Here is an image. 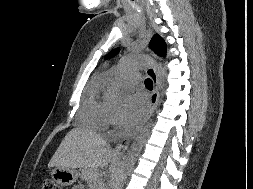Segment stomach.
<instances>
[{
  "label": "stomach",
  "mask_w": 253,
  "mask_h": 189,
  "mask_svg": "<svg viewBox=\"0 0 253 189\" xmlns=\"http://www.w3.org/2000/svg\"><path fill=\"white\" fill-rule=\"evenodd\" d=\"M53 180L61 186H70L78 179V172L70 168L56 167L52 170Z\"/></svg>",
  "instance_id": "obj_1"
}]
</instances>
